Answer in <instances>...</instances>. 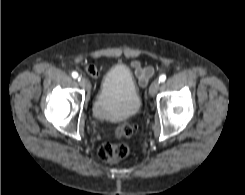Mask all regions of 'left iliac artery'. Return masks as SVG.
I'll use <instances>...</instances> for the list:
<instances>
[{"mask_svg": "<svg viewBox=\"0 0 245 195\" xmlns=\"http://www.w3.org/2000/svg\"><path fill=\"white\" fill-rule=\"evenodd\" d=\"M166 80V75H161L160 77H159V82H164Z\"/></svg>", "mask_w": 245, "mask_h": 195, "instance_id": "1", "label": "left iliac artery"}]
</instances>
